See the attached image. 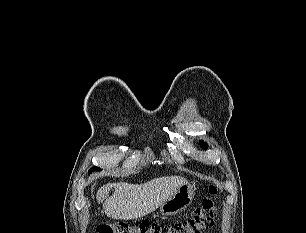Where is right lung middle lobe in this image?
<instances>
[{
	"label": "right lung middle lobe",
	"instance_id": "obj_1",
	"mask_svg": "<svg viewBox=\"0 0 306 233\" xmlns=\"http://www.w3.org/2000/svg\"><path fill=\"white\" fill-rule=\"evenodd\" d=\"M100 170H101L100 168L94 166V167H92V168L89 170L88 173H91V172H93V171H100Z\"/></svg>",
	"mask_w": 306,
	"mask_h": 233
}]
</instances>
